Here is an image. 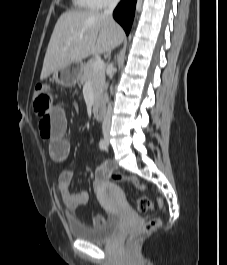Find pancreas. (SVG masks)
Segmentation results:
<instances>
[{
  "label": "pancreas",
  "mask_w": 227,
  "mask_h": 265,
  "mask_svg": "<svg viewBox=\"0 0 227 265\" xmlns=\"http://www.w3.org/2000/svg\"><path fill=\"white\" fill-rule=\"evenodd\" d=\"M94 62L95 60L91 59L83 66L80 83L84 84L87 81H91L93 95L95 100H97L102 95L105 88V68L94 71Z\"/></svg>",
  "instance_id": "pancreas-1"
}]
</instances>
